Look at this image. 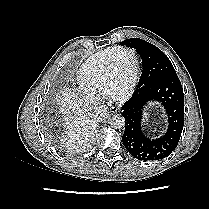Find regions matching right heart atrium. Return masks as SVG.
<instances>
[{"instance_id":"obj_1","label":"right heart atrium","mask_w":209,"mask_h":209,"mask_svg":"<svg viewBox=\"0 0 209 209\" xmlns=\"http://www.w3.org/2000/svg\"><path fill=\"white\" fill-rule=\"evenodd\" d=\"M87 99H91V97L87 96Z\"/></svg>"}]
</instances>
